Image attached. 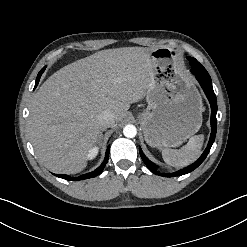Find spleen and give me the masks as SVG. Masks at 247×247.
I'll list each match as a JSON object with an SVG mask.
<instances>
[{
    "instance_id": "3e777b00",
    "label": "spleen",
    "mask_w": 247,
    "mask_h": 247,
    "mask_svg": "<svg viewBox=\"0 0 247 247\" xmlns=\"http://www.w3.org/2000/svg\"><path fill=\"white\" fill-rule=\"evenodd\" d=\"M204 136L196 135L189 139L181 149H163V160L174 167H184L194 162L201 154Z\"/></svg>"
}]
</instances>
